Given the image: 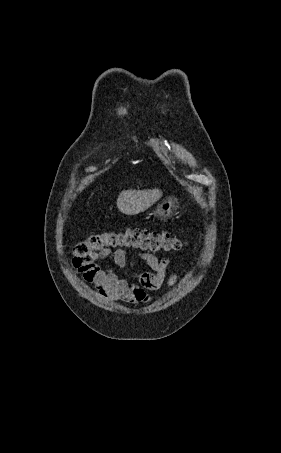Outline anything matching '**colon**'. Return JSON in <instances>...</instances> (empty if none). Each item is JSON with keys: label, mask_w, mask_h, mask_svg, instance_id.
<instances>
[{"label": "colon", "mask_w": 281, "mask_h": 453, "mask_svg": "<svg viewBox=\"0 0 281 453\" xmlns=\"http://www.w3.org/2000/svg\"><path fill=\"white\" fill-rule=\"evenodd\" d=\"M182 248V243L168 231L130 226L119 231L103 229L92 234L80 243L76 258L91 263L109 259L106 256L108 249L151 250L152 255H161L162 252H178Z\"/></svg>", "instance_id": "5ec220e1"}]
</instances>
